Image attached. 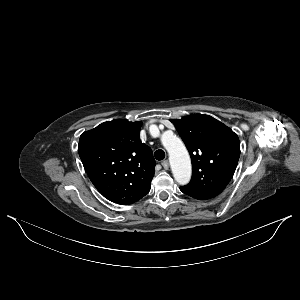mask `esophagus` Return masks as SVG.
<instances>
[{"label":"esophagus","mask_w":300,"mask_h":300,"mask_svg":"<svg viewBox=\"0 0 300 300\" xmlns=\"http://www.w3.org/2000/svg\"><path fill=\"white\" fill-rule=\"evenodd\" d=\"M162 166H163L164 169L167 170L169 168V162H168V160L163 161L162 162Z\"/></svg>","instance_id":"obj_1"}]
</instances>
